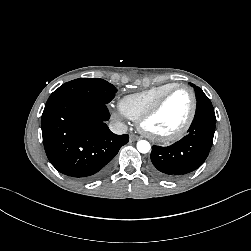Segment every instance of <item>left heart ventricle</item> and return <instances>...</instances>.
Segmentation results:
<instances>
[{
	"instance_id": "1",
	"label": "left heart ventricle",
	"mask_w": 251,
	"mask_h": 251,
	"mask_svg": "<svg viewBox=\"0 0 251 251\" xmlns=\"http://www.w3.org/2000/svg\"><path fill=\"white\" fill-rule=\"evenodd\" d=\"M192 99L187 90L172 93L161 109L146 122V128L156 135H168L179 130L191 111Z\"/></svg>"
}]
</instances>
